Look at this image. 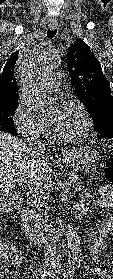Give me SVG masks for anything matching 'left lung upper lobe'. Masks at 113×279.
<instances>
[{"mask_svg":"<svg viewBox=\"0 0 113 279\" xmlns=\"http://www.w3.org/2000/svg\"><path fill=\"white\" fill-rule=\"evenodd\" d=\"M67 68L77 97L90 113L98 136L113 135V98L110 83L90 47L77 39L69 48Z\"/></svg>","mask_w":113,"mask_h":279,"instance_id":"left-lung-upper-lobe-1","label":"left lung upper lobe"}]
</instances>
